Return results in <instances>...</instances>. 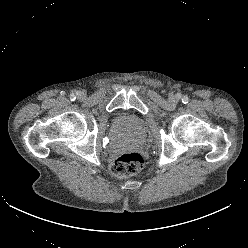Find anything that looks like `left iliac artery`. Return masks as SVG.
Here are the masks:
<instances>
[{"mask_svg":"<svg viewBox=\"0 0 248 248\" xmlns=\"http://www.w3.org/2000/svg\"><path fill=\"white\" fill-rule=\"evenodd\" d=\"M188 101H189V99H188V97L187 96H184L183 98H182V102L183 103H188Z\"/></svg>","mask_w":248,"mask_h":248,"instance_id":"left-iliac-artery-1","label":"left iliac artery"}]
</instances>
